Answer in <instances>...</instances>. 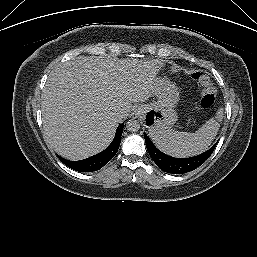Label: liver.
I'll use <instances>...</instances> for the list:
<instances>
[{
	"mask_svg": "<svg viewBox=\"0 0 257 257\" xmlns=\"http://www.w3.org/2000/svg\"><path fill=\"white\" fill-rule=\"evenodd\" d=\"M158 59L78 56L48 76L41 97L45 138L60 156L81 160L104 150L132 103L152 95ZM119 114V120L114 117Z\"/></svg>",
	"mask_w": 257,
	"mask_h": 257,
	"instance_id": "1",
	"label": "liver"
}]
</instances>
